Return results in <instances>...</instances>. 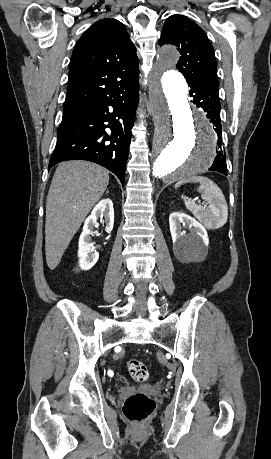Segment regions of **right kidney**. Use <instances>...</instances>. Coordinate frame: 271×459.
I'll use <instances>...</instances> for the list:
<instances>
[{
    "mask_svg": "<svg viewBox=\"0 0 271 459\" xmlns=\"http://www.w3.org/2000/svg\"><path fill=\"white\" fill-rule=\"evenodd\" d=\"M98 218H104L107 231H112L114 224V210L112 200L106 198V200H101L97 206H95L91 216H88L85 220L83 226V231L79 237V265L81 269H90L95 265L99 253L94 247V241H92L91 235L95 233L92 231L93 226L97 224L96 220ZM75 271H79V267H75Z\"/></svg>",
    "mask_w": 271,
    "mask_h": 459,
    "instance_id": "right-kidney-1",
    "label": "right kidney"
}]
</instances>
